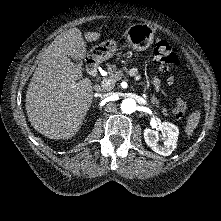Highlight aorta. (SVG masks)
I'll return each instance as SVG.
<instances>
[{"label":"aorta","instance_id":"1","mask_svg":"<svg viewBox=\"0 0 221 221\" xmlns=\"http://www.w3.org/2000/svg\"><path fill=\"white\" fill-rule=\"evenodd\" d=\"M136 107H137L136 101L132 98L124 99L120 105L122 112L125 114H131L135 112Z\"/></svg>","mask_w":221,"mask_h":221}]
</instances>
